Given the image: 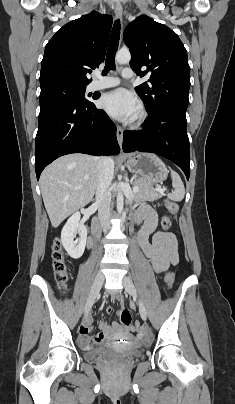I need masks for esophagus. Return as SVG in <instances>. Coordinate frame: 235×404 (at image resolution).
I'll use <instances>...</instances> for the list:
<instances>
[{
    "label": "esophagus",
    "mask_w": 235,
    "mask_h": 404,
    "mask_svg": "<svg viewBox=\"0 0 235 404\" xmlns=\"http://www.w3.org/2000/svg\"><path fill=\"white\" fill-rule=\"evenodd\" d=\"M114 12L117 18H122V13H123V8L121 4H116L114 7ZM116 135H117V141L120 147H122L123 143V129L121 126H117L116 128Z\"/></svg>",
    "instance_id": "obj_1"
}]
</instances>
